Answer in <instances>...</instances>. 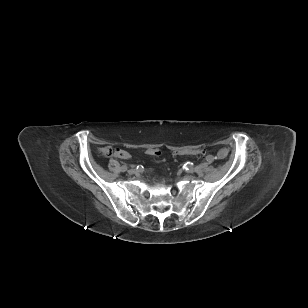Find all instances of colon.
Segmentation results:
<instances>
[{"label": "colon", "mask_w": 308, "mask_h": 308, "mask_svg": "<svg viewBox=\"0 0 308 308\" xmlns=\"http://www.w3.org/2000/svg\"><path fill=\"white\" fill-rule=\"evenodd\" d=\"M145 153L148 154V155H151V156H157L160 154L159 150L157 149H153V148H148L145 150ZM181 154H189V155H193V156H196V157H199L203 154V151L200 150V149H195V150H186V151H181L180 152ZM101 154L103 155H113L117 158H120V159H128L129 158V153L126 152L125 150H122V149H115L114 151H112L111 148H103L101 150Z\"/></svg>", "instance_id": "5ec220e1"}]
</instances>
